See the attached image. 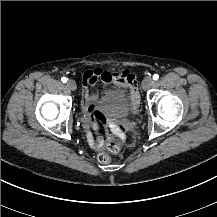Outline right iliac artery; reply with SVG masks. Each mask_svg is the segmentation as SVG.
Instances as JSON below:
<instances>
[{"label":"right iliac artery","mask_w":217,"mask_h":217,"mask_svg":"<svg viewBox=\"0 0 217 217\" xmlns=\"http://www.w3.org/2000/svg\"><path fill=\"white\" fill-rule=\"evenodd\" d=\"M61 81H62L63 83H66V82H67V78H66V77H62V78H61Z\"/></svg>","instance_id":"right-iliac-artery-1"}]
</instances>
